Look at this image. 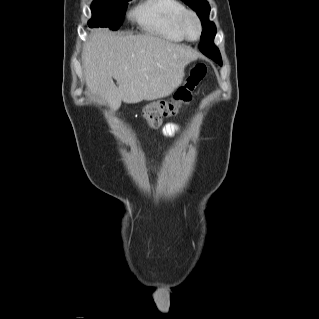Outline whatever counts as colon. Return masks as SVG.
Segmentation results:
<instances>
[{"instance_id":"5ec220e1","label":"colon","mask_w":319,"mask_h":319,"mask_svg":"<svg viewBox=\"0 0 319 319\" xmlns=\"http://www.w3.org/2000/svg\"><path fill=\"white\" fill-rule=\"evenodd\" d=\"M206 74V66L203 63L194 65L185 78L178 86L171 101L165 103H152L143 109V116L151 127H158L164 118L175 116L183 104L190 99L192 92Z\"/></svg>"}]
</instances>
